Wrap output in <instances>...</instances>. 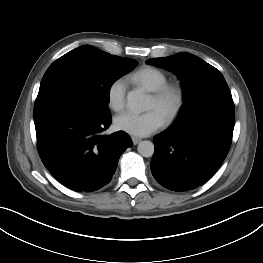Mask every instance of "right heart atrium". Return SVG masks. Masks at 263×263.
Returning a JSON list of instances; mask_svg holds the SVG:
<instances>
[{"label": "right heart atrium", "instance_id": "obj_1", "mask_svg": "<svg viewBox=\"0 0 263 263\" xmlns=\"http://www.w3.org/2000/svg\"><path fill=\"white\" fill-rule=\"evenodd\" d=\"M126 85L125 82L118 78L113 80L107 88V104L113 111L119 112L125 107Z\"/></svg>", "mask_w": 263, "mask_h": 263}]
</instances>
